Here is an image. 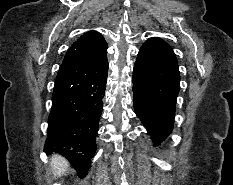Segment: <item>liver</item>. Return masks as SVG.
<instances>
[{
	"label": "liver",
	"instance_id": "6515ba94",
	"mask_svg": "<svg viewBox=\"0 0 233 185\" xmlns=\"http://www.w3.org/2000/svg\"><path fill=\"white\" fill-rule=\"evenodd\" d=\"M51 166H52V170L57 176L64 174L69 168V164L65 160V158L58 155H54L51 158Z\"/></svg>",
	"mask_w": 233,
	"mask_h": 185
}]
</instances>
